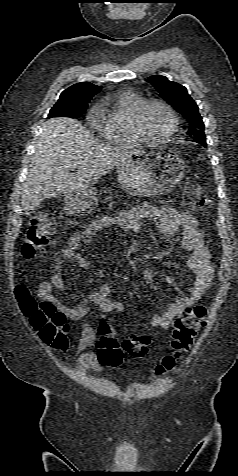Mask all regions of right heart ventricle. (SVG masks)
Masks as SVG:
<instances>
[{"instance_id":"obj_1","label":"right heart ventricle","mask_w":238,"mask_h":476,"mask_svg":"<svg viewBox=\"0 0 238 476\" xmlns=\"http://www.w3.org/2000/svg\"><path fill=\"white\" fill-rule=\"evenodd\" d=\"M143 101V97L131 90L108 97L97 109L96 129L100 136L114 145L143 143L134 125L136 111Z\"/></svg>"}]
</instances>
